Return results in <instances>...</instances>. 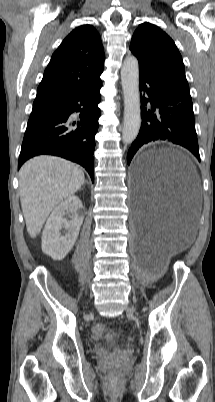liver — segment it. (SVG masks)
<instances>
[{"mask_svg":"<svg viewBox=\"0 0 215 402\" xmlns=\"http://www.w3.org/2000/svg\"><path fill=\"white\" fill-rule=\"evenodd\" d=\"M84 184L76 164L54 156H37L19 171V193L29 236L35 238L50 212Z\"/></svg>","mask_w":215,"mask_h":402,"instance_id":"1","label":"liver"}]
</instances>
